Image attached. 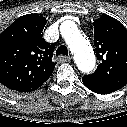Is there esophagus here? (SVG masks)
I'll use <instances>...</instances> for the list:
<instances>
[{"instance_id": "esophagus-1", "label": "esophagus", "mask_w": 127, "mask_h": 127, "mask_svg": "<svg viewBox=\"0 0 127 127\" xmlns=\"http://www.w3.org/2000/svg\"><path fill=\"white\" fill-rule=\"evenodd\" d=\"M57 59H58V61H60V62H68V61L71 60V57H66V56L60 55V56H58Z\"/></svg>"}]
</instances>
